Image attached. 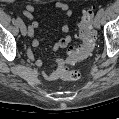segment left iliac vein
<instances>
[{
	"label": "left iliac vein",
	"mask_w": 119,
	"mask_h": 119,
	"mask_svg": "<svg viewBox=\"0 0 119 119\" xmlns=\"http://www.w3.org/2000/svg\"><path fill=\"white\" fill-rule=\"evenodd\" d=\"M100 22H101V16L97 14L94 18V21H93L94 27L99 28Z\"/></svg>",
	"instance_id": "4c4485c4"
}]
</instances>
